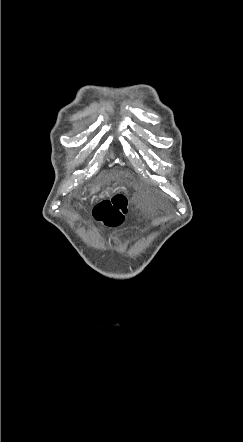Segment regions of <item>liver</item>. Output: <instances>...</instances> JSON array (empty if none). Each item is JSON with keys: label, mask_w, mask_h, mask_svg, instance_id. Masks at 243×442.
<instances>
[{"label": "liver", "mask_w": 243, "mask_h": 442, "mask_svg": "<svg viewBox=\"0 0 243 442\" xmlns=\"http://www.w3.org/2000/svg\"><path fill=\"white\" fill-rule=\"evenodd\" d=\"M98 190H99V187H93V188L91 189V194L96 193Z\"/></svg>", "instance_id": "1"}]
</instances>
